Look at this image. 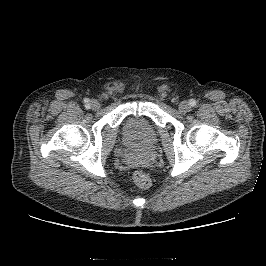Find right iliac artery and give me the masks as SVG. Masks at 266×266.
<instances>
[{"mask_svg":"<svg viewBox=\"0 0 266 266\" xmlns=\"http://www.w3.org/2000/svg\"><path fill=\"white\" fill-rule=\"evenodd\" d=\"M84 102H85L86 104H88V103H89V99L86 98V99L84 100Z\"/></svg>","mask_w":266,"mask_h":266,"instance_id":"1","label":"right iliac artery"}]
</instances>
